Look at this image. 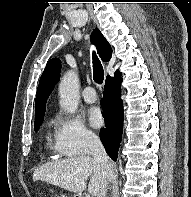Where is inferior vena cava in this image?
Masks as SVG:
<instances>
[{"label": "inferior vena cava", "mask_w": 191, "mask_h": 197, "mask_svg": "<svg viewBox=\"0 0 191 197\" xmlns=\"http://www.w3.org/2000/svg\"><path fill=\"white\" fill-rule=\"evenodd\" d=\"M88 148L90 155L102 164L105 169V180L97 197H106L107 187L111 176V163L109 157L98 136L91 134L88 136Z\"/></svg>", "instance_id": "inferior-vena-cava-1"}]
</instances>
